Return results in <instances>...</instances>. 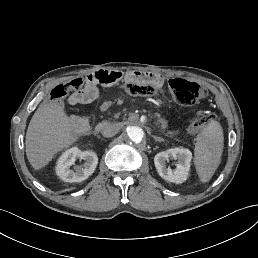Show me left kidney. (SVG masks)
Here are the masks:
<instances>
[{
  "instance_id": "1",
  "label": "left kidney",
  "mask_w": 258,
  "mask_h": 258,
  "mask_svg": "<svg viewBox=\"0 0 258 258\" xmlns=\"http://www.w3.org/2000/svg\"><path fill=\"white\" fill-rule=\"evenodd\" d=\"M169 157L178 159V164L175 170L167 168L165 163ZM192 153L189 149L177 147L159 152L154 157V164L158 174L165 180L173 183H183L187 180Z\"/></svg>"
}]
</instances>
